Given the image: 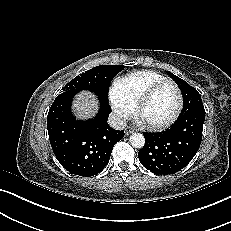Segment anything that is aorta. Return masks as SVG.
Instances as JSON below:
<instances>
[{
	"label": "aorta",
	"instance_id": "aorta-1",
	"mask_svg": "<svg viewBox=\"0 0 231 231\" xmlns=\"http://www.w3.org/2000/svg\"><path fill=\"white\" fill-rule=\"evenodd\" d=\"M129 141L134 148H142L145 145V138L140 133H132Z\"/></svg>",
	"mask_w": 231,
	"mask_h": 231
}]
</instances>
